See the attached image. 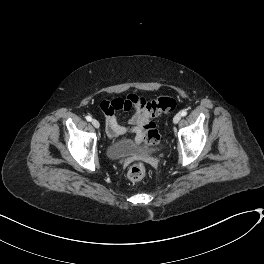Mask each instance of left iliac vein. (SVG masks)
<instances>
[{
	"label": "left iliac vein",
	"mask_w": 264,
	"mask_h": 264,
	"mask_svg": "<svg viewBox=\"0 0 264 264\" xmlns=\"http://www.w3.org/2000/svg\"><path fill=\"white\" fill-rule=\"evenodd\" d=\"M181 119V114L180 113H177L174 118H173V123L174 124H177Z\"/></svg>",
	"instance_id": "1"
}]
</instances>
